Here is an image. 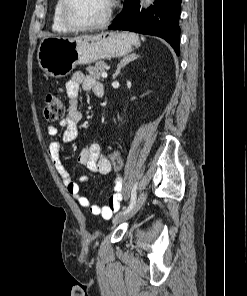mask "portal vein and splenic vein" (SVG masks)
<instances>
[{
  "mask_svg": "<svg viewBox=\"0 0 247 296\" xmlns=\"http://www.w3.org/2000/svg\"><path fill=\"white\" fill-rule=\"evenodd\" d=\"M101 76L103 77V78H107V72H103L102 74H101Z\"/></svg>",
  "mask_w": 247,
  "mask_h": 296,
  "instance_id": "1",
  "label": "portal vein and splenic vein"
}]
</instances>
